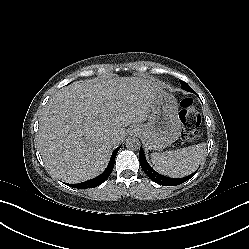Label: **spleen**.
I'll use <instances>...</instances> for the list:
<instances>
[{
    "label": "spleen",
    "mask_w": 249,
    "mask_h": 249,
    "mask_svg": "<svg viewBox=\"0 0 249 249\" xmlns=\"http://www.w3.org/2000/svg\"><path fill=\"white\" fill-rule=\"evenodd\" d=\"M206 156V143L186 148L164 152L151 153V162L154 169L160 174L169 177H179V170L194 171ZM182 175V174H181Z\"/></svg>",
    "instance_id": "1"
}]
</instances>
